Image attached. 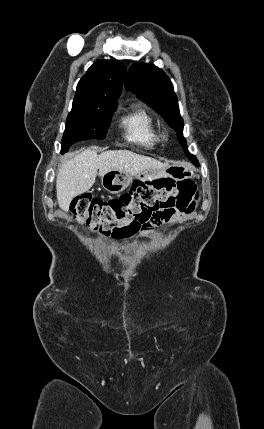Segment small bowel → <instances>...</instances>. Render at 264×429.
Here are the masks:
<instances>
[{"label": "small bowel", "mask_w": 264, "mask_h": 429, "mask_svg": "<svg viewBox=\"0 0 264 429\" xmlns=\"http://www.w3.org/2000/svg\"><path fill=\"white\" fill-rule=\"evenodd\" d=\"M185 213L178 211L172 213H165L153 216L147 223H145L141 229L143 235L148 236L152 233V230L157 225L169 222H179L185 217Z\"/></svg>", "instance_id": "small-bowel-1"}]
</instances>
